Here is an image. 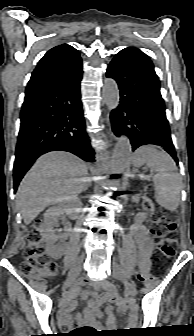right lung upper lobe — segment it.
I'll use <instances>...</instances> for the list:
<instances>
[{
	"label": "right lung upper lobe",
	"mask_w": 194,
	"mask_h": 336,
	"mask_svg": "<svg viewBox=\"0 0 194 336\" xmlns=\"http://www.w3.org/2000/svg\"><path fill=\"white\" fill-rule=\"evenodd\" d=\"M82 64L78 51L63 44L52 48L39 61L32 73L26 91L52 83Z\"/></svg>",
	"instance_id": "right-lung-upper-lobe-1"
}]
</instances>
